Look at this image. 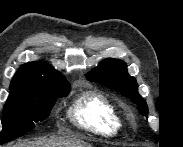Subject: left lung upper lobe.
<instances>
[{
    "label": "left lung upper lobe",
    "mask_w": 183,
    "mask_h": 147,
    "mask_svg": "<svg viewBox=\"0 0 183 147\" xmlns=\"http://www.w3.org/2000/svg\"><path fill=\"white\" fill-rule=\"evenodd\" d=\"M86 77L92 82L100 83L101 85L120 92L123 96L137 104L138 110L144 116H147V103L138 93L137 81L128 74L127 65L122 60L105 59L87 74Z\"/></svg>",
    "instance_id": "left-lung-upper-lobe-1"
}]
</instances>
